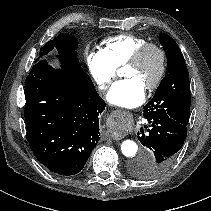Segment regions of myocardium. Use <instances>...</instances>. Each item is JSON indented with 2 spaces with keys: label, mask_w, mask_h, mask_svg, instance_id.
Segmentation results:
<instances>
[{
  "label": "myocardium",
  "mask_w": 211,
  "mask_h": 211,
  "mask_svg": "<svg viewBox=\"0 0 211 211\" xmlns=\"http://www.w3.org/2000/svg\"><path fill=\"white\" fill-rule=\"evenodd\" d=\"M151 51L156 52L159 56V70L153 82L146 87L148 91L157 89L165 77L167 71V54L164 48L157 43L146 42L141 45L125 63V66L136 65Z\"/></svg>",
  "instance_id": "obj_1"
}]
</instances>
